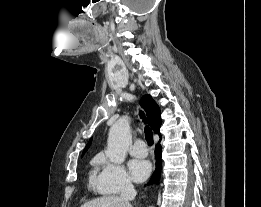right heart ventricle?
<instances>
[{
    "label": "right heart ventricle",
    "instance_id": "obj_1",
    "mask_svg": "<svg viewBox=\"0 0 261 207\" xmlns=\"http://www.w3.org/2000/svg\"><path fill=\"white\" fill-rule=\"evenodd\" d=\"M99 162H100V156H96L92 159V165L93 166H97L99 165ZM91 178L94 180L95 176H94V171L92 172L91 174Z\"/></svg>",
    "mask_w": 261,
    "mask_h": 207
}]
</instances>
